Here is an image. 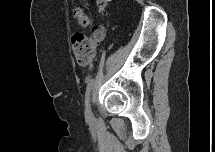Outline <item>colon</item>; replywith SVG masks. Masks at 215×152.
<instances>
[{
  "instance_id": "obj_1",
  "label": "colon",
  "mask_w": 215,
  "mask_h": 152,
  "mask_svg": "<svg viewBox=\"0 0 215 152\" xmlns=\"http://www.w3.org/2000/svg\"><path fill=\"white\" fill-rule=\"evenodd\" d=\"M97 6L101 11H104L108 1L95 0ZM74 19L80 27H88L91 23L90 15L82 8H75L73 11ZM104 38V28L102 26H95L92 30L91 36L83 34H75L72 38V51L78 61L83 67L90 65V60L93 57L97 46Z\"/></svg>"
}]
</instances>
